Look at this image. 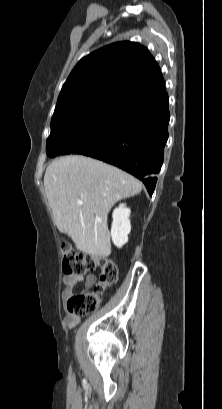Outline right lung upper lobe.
Wrapping results in <instances>:
<instances>
[{"label":"right lung upper lobe","mask_w":222,"mask_h":409,"mask_svg":"<svg viewBox=\"0 0 222 409\" xmlns=\"http://www.w3.org/2000/svg\"><path fill=\"white\" fill-rule=\"evenodd\" d=\"M166 94L161 70L142 45L117 42L83 57L64 83L55 107L114 102L120 105Z\"/></svg>","instance_id":"cb5924a9"}]
</instances>
